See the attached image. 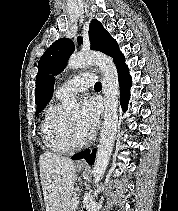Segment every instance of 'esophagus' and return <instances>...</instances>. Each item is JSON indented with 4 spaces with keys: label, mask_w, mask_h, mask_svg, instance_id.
I'll return each mask as SVG.
<instances>
[{
    "label": "esophagus",
    "mask_w": 178,
    "mask_h": 211,
    "mask_svg": "<svg viewBox=\"0 0 178 211\" xmlns=\"http://www.w3.org/2000/svg\"><path fill=\"white\" fill-rule=\"evenodd\" d=\"M76 166H77L78 168H84V167H88L89 165H88V163L86 162L85 159H80V160L77 162Z\"/></svg>",
    "instance_id": "obj_1"
}]
</instances>
